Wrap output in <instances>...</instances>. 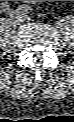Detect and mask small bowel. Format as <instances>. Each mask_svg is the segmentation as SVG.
Listing matches in <instances>:
<instances>
[{"instance_id":"obj_1","label":"small bowel","mask_w":74,"mask_h":122,"mask_svg":"<svg viewBox=\"0 0 74 122\" xmlns=\"http://www.w3.org/2000/svg\"><path fill=\"white\" fill-rule=\"evenodd\" d=\"M25 2L36 3V2H41V1H25Z\"/></svg>"}]
</instances>
